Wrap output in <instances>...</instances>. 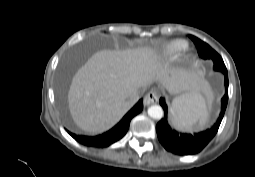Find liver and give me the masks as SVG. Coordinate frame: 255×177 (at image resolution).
<instances>
[{
  "mask_svg": "<svg viewBox=\"0 0 255 177\" xmlns=\"http://www.w3.org/2000/svg\"><path fill=\"white\" fill-rule=\"evenodd\" d=\"M155 80L171 94L207 89L201 73L169 67L150 48L101 50L72 79L68 92L72 118L90 134L109 130L132 107L130 95Z\"/></svg>",
  "mask_w": 255,
  "mask_h": 177,
  "instance_id": "1",
  "label": "liver"
}]
</instances>
